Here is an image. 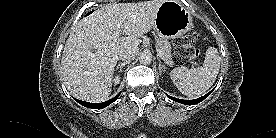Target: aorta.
Listing matches in <instances>:
<instances>
[{"label": "aorta", "instance_id": "762f6f07", "mask_svg": "<svg viewBox=\"0 0 276 138\" xmlns=\"http://www.w3.org/2000/svg\"><path fill=\"white\" fill-rule=\"evenodd\" d=\"M152 61V54L149 51H143L139 56V62L143 65H148Z\"/></svg>", "mask_w": 276, "mask_h": 138}]
</instances>
